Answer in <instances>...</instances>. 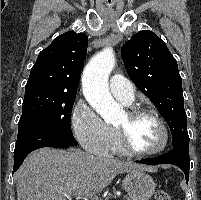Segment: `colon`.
Masks as SVG:
<instances>
[{
    "label": "colon",
    "mask_w": 201,
    "mask_h": 200,
    "mask_svg": "<svg viewBox=\"0 0 201 200\" xmlns=\"http://www.w3.org/2000/svg\"><path fill=\"white\" fill-rule=\"evenodd\" d=\"M155 200H171L168 192L160 190L155 193Z\"/></svg>",
    "instance_id": "obj_1"
}]
</instances>
